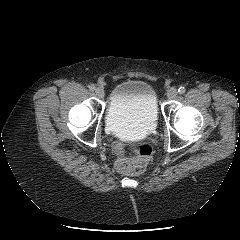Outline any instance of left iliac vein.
Segmentation results:
<instances>
[{"label": "left iliac vein", "instance_id": "4c4485c4", "mask_svg": "<svg viewBox=\"0 0 240 240\" xmlns=\"http://www.w3.org/2000/svg\"><path fill=\"white\" fill-rule=\"evenodd\" d=\"M178 91L175 87H171L167 92V97L169 99H175L177 97Z\"/></svg>", "mask_w": 240, "mask_h": 240}]
</instances>
